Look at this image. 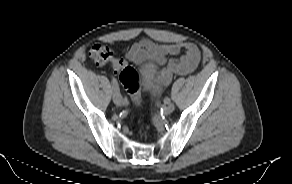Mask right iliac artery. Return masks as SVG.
Returning a JSON list of instances; mask_svg holds the SVG:
<instances>
[{"label":"right iliac artery","instance_id":"1","mask_svg":"<svg viewBox=\"0 0 292 184\" xmlns=\"http://www.w3.org/2000/svg\"><path fill=\"white\" fill-rule=\"evenodd\" d=\"M112 84H113L114 92L117 93L118 97H121L122 93L121 91H119V87L115 78L112 79Z\"/></svg>","mask_w":292,"mask_h":184}]
</instances>
